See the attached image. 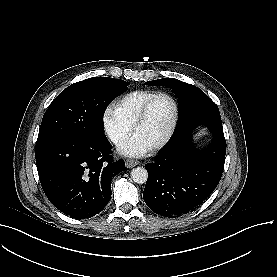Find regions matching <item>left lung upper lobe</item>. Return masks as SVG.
<instances>
[{
  "instance_id": "obj_1",
  "label": "left lung upper lobe",
  "mask_w": 277,
  "mask_h": 277,
  "mask_svg": "<svg viewBox=\"0 0 277 277\" xmlns=\"http://www.w3.org/2000/svg\"><path fill=\"white\" fill-rule=\"evenodd\" d=\"M145 84L172 88L179 98L178 121L174 133L165 147L182 139L199 124H205L214 129H223L217 105L196 86L175 78L147 81ZM224 156V152L210 148L202 151L199 157L179 161V166L182 170L197 173L203 160H219L224 159Z\"/></svg>"
}]
</instances>
